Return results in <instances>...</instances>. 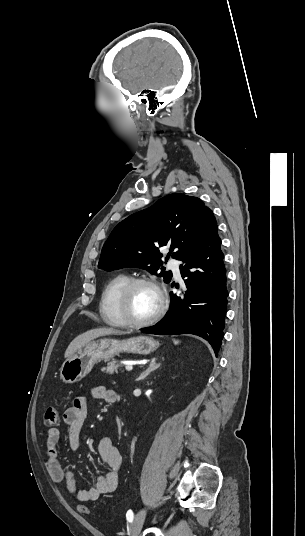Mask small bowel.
Returning <instances> with one entry per match:
<instances>
[{"label":"small bowel","mask_w":305,"mask_h":536,"mask_svg":"<svg viewBox=\"0 0 305 536\" xmlns=\"http://www.w3.org/2000/svg\"><path fill=\"white\" fill-rule=\"evenodd\" d=\"M92 396L109 403L114 402L117 398L115 391L105 387L93 388ZM86 416L87 403L84 397L75 398L73 404L64 413V422L68 427V440L73 450L80 448L81 433ZM59 440V429L50 427L47 431L44 447L45 467L54 482L64 481L68 492L76 500L95 501L100 495L114 492L117 489L123 457L109 437H102L98 441V454L106 470L96 478L94 487L90 489H78L73 471L61 465L59 461Z\"/></svg>","instance_id":"small-bowel-1"}]
</instances>
